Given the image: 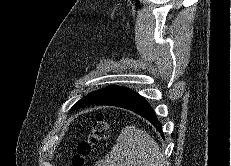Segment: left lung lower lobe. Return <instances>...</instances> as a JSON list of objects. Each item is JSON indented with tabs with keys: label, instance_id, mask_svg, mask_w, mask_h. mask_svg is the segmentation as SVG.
<instances>
[{
	"label": "left lung lower lobe",
	"instance_id": "1",
	"mask_svg": "<svg viewBox=\"0 0 231 166\" xmlns=\"http://www.w3.org/2000/svg\"><path fill=\"white\" fill-rule=\"evenodd\" d=\"M91 104L117 106L128 109L148 120L160 132H162L161 123L150 104L144 97L129 88L117 87L114 90L98 97Z\"/></svg>",
	"mask_w": 231,
	"mask_h": 166
}]
</instances>
